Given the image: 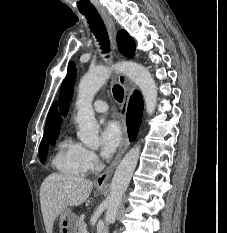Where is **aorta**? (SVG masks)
I'll return each instance as SVG.
<instances>
[{"label": "aorta", "mask_w": 227, "mask_h": 233, "mask_svg": "<svg viewBox=\"0 0 227 233\" xmlns=\"http://www.w3.org/2000/svg\"><path fill=\"white\" fill-rule=\"evenodd\" d=\"M113 70L126 74L141 90L145 100L146 112L152 115L157 103V86L149 71L133 62H124L110 67H98L85 74L78 86L76 101L79 126L78 137L83 144L90 148H97L100 144L98 137L99 125L96 122L92 101L98 90L109 79ZM140 146L135 145L123 157L115 170L110 185V192L106 200L105 227L103 233H108L109 224L115 220L123 195L127 190L132 175L138 163Z\"/></svg>", "instance_id": "1"}]
</instances>
